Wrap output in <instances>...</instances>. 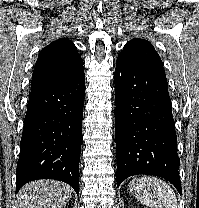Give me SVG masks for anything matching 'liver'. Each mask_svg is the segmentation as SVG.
<instances>
[{
    "mask_svg": "<svg viewBox=\"0 0 199 208\" xmlns=\"http://www.w3.org/2000/svg\"><path fill=\"white\" fill-rule=\"evenodd\" d=\"M71 188L54 180L27 183L18 194V208H63L71 198Z\"/></svg>",
    "mask_w": 199,
    "mask_h": 208,
    "instance_id": "liver-1",
    "label": "liver"
}]
</instances>
